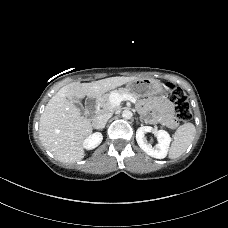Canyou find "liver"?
Listing matches in <instances>:
<instances>
[{"mask_svg": "<svg viewBox=\"0 0 228 228\" xmlns=\"http://www.w3.org/2000/svg\"><path fill=\"white\" fill-rule=\"evenodd\" d=\"M137 79L110 77L90 83L73 82L62 87L48 102L39 122L42 145L63 163L84 158V140L92 133L89 119L81 116L71 99L98 98L106 92Z\"/></svg>", "mask_w": 228, "mask_h": 228, "instance_id": "6515ba94", "label": "liver"}]
</instances>
